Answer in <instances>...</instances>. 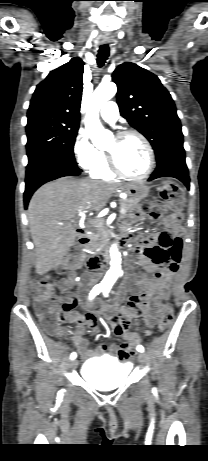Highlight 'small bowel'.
I'll use <instances>...</instances> for the list:
<instances>
[{
	"label": "small bowel",
	"instance_id": "obj_1",
	"mask_svg": "<svg viewBox=\"0 0 208 461\" xmlns=\"http://www.w3.org/2000/svg\"><path fill=\"white\" fill-rule=\"evenodd\" d=\"M130 213L121 215L124 226H128L131 220L136 221L138 217H143L145 210L135 204ZM172 226L173 229H158L151 237H142L143 245H153L155 250L165 251H138L139 265L149 274L137 271L134 275H126L115 293L113 303L87 300L82 298V295H76L75 291H69V280H75L81 265L77 263V256L67 257L68 263L63 264L66 280L61 282L59 297L62 308L68 310L58 314V321L60 324L72 323L75 327L63 328L60 334L69 338L84 358L96 357L105 351L120 360H128L131 357L121 352L114 344L102 345L96 349L88 347L85 336L88 331L99 333L97 323L100 317H106L114 333L125 340H140L138 333L130 330L133 319L142 318L148 326L154 325L157 321L159 303L168 296L169 288L180 269V263H184L185 259L186 242L182 238V230L178 229L177 224ZM128 294L130 296L126 306L117 310V303ZM79 303L87 310L85 314L72 310L77 309Z\"/></svg>",
	"mask_w": 208,
	"mask_h": 461
}]
</instances>
